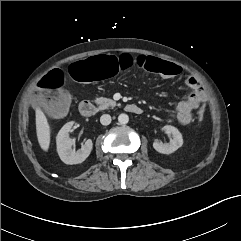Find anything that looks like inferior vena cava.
I'll return each instance as SVG.
<instances>
[{
	"mask_svg": "<svg viewBox=\"0 0 241 241\" xmlns=\"http://www.w3.org/2000/svg\"><path fill=\"white\" fill-rule=\"evenodd\" d=\"M100 122L102 125H109L111 123V116L108 114H103L100 117Z\"/></svg>",
	"mask_w": 241,
	"mask_h": 241,
	"instance_id": "obj_1",
	"label": "inferior vena cava"
}]
</instances>
